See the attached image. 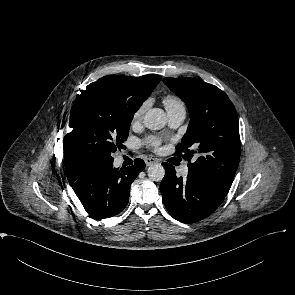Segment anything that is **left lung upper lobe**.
Returning <instances> with one entry per match:
<instances>
[{"label": "left lung upper lobe", "mask_w": 295, "mask_h": 295, "mask_svg": "<svg viewBox=\"0 0 295 295\" xmlns=\"http://www.w3.org/2000/svg\"><path fill=\"white\" fill-rule=\"evenodd\" d=\"M187 105L190 123L176 155L186 158L189 172L228 193L240 158L238 117L228 96L197 78H164ZM197 160L190 163L193 155Z\"/></svg>", "instance_id": "1"}]
</instances>
